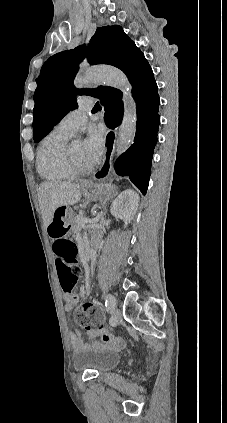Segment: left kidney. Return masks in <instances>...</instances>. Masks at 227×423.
I'll list each match as a JSON object with an SVG mask.
<instances>
[{
	"mask_svg": "<svg viewBox=\"0 0 227 423\" xmlns=\"http://www.w3.org/2000/svg\"><path fill=\"white\" fill-rule=\"evenodd\" d=\"M139 206V196L134 190H125L121 192L111 204L110 211L115 217H120L124 221V227H127L133 219Z\"/></svg>",
	"mask_w": 227,
	"mask_h": 423,
	"instance_id": "obj_1",
	"label": "left kidney"
}]
</instances>
